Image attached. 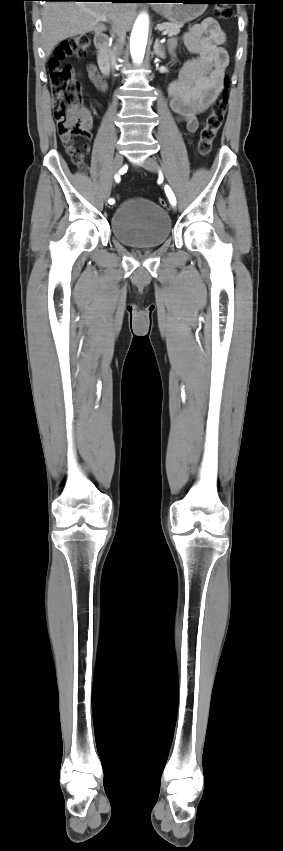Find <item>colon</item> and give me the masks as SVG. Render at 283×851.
<instances>
[{"mask_svg": "<svg viewBox=\"0 0 283 851\" xmlns=\"http://www.w3.org/2000/svg\"><path fill=\"white\" fill-rule=\"evenodd\" d=\"M214 14L217 18L229 19L233 12L229 6L220 5L214 9ZM89 46L90 38L87 34L73 36L59 45L53 58L49 61L50 82L54 99L53 114L62 142H72L75 137L85 140L91 137L89 118L82 107L80 84L74 77L72 67L62 64L65 59L84 56ZM226 108L227 91L224 90L220 98L214 103L212 111L201 129L198 142V150L201 155L205 156L210 153L213 142L222 127ZM83 149L86 150V145L83 146ZM70 157L77 166H84L82 151L71 150ZM159 203L162 206L166 205L163 198L159 199Z\"/></svg>", "mask_w": 283, "mask_h": 851, "instance_id": "obj_1", "label": "colon"}]
</instances>
